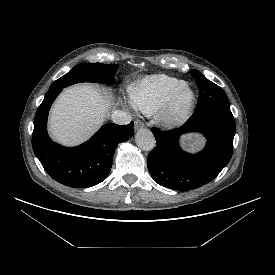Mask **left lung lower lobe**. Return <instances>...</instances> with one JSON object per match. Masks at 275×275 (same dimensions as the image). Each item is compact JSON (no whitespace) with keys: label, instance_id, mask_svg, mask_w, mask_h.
<instances>
[{"label":"left lung lower lobe","instance_id":"obj_1","mask_svg":"<svg viewBox=\"0 0 275 275\" xmlns=\"http://www.w3.org/2000/svg\"><path fill=\"white\" fill-rule=\"evenodd\" d=\"M201 132L207 144L198 154L181 150L179 136L187 132ZM156 147L147 159L148 170L159 185L187 191L212 181L228 164L233 152L235 121L230 110H198L180 128L161 131L153 127Z\"/></svg>","mask_w":275,"mask_h":275}]
</instances>
